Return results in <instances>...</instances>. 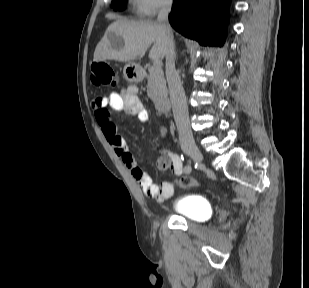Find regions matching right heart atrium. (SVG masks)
<instances>
[{"instance_id": "obj_1", "label": "right heart atrium", "mask_w": 309, "mask_h": 288, "mask_svg": "<svg viewBox=\"0 0 309 288\" xmlns=\"http://www.w3.org/2000/svg\"><path fill=\"white\" fill-rule=\"evenodd\" d=\"M135 9L143 16H153L162 9L169 8L173 0H133Z\"/></svg>"}]
</instances>
